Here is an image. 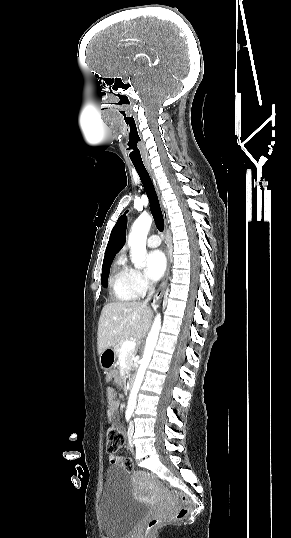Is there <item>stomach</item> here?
Segmentation results:
<instances>
[{
    "mask_svg": "<svg viewBox=\"0 0 291 538\" xmlns=\"http://www.w3.org/2000/svg\"><path fill=\"white\" fill-rule=\"evenodd\" d=\"M116 358L114 348H107L100 355V364L104 369H109L115 365Z\"/></svg>",
    "mask_w": 291,
    "mask_h": 538,
    "instance_id": "1",
    "label": "stomach"
}]
</instances>
